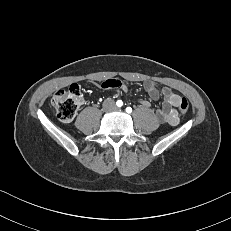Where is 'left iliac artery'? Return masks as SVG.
Segmentation results:
<instances>
[{
    "instance_id": "left-iliac-artery-1",
    "label": "left iliac artery",
    "mask_w": 231,
    "mask_h": 231,
    "mask_svg": "<svg viewBox=\"0 0 231 231\" xmlns=\"http://www.w3.org/2000/svg\"><path fill=\"white\" fill-rule=\"evenodd\" d=\"M126 112H127V113H131V112H132V108H131V107H127V108H126Z\"/></svg>"
}]
</instances>
